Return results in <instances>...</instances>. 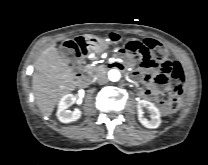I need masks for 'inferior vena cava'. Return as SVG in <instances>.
I'll use <instances>...</instances> for the list:
<instances>
[{
  "label": "inferior vena cava",
  "mask_w": 208,
  "mask_h": 165,
  "mask_svg": "<svg viewBox=\"0 0 208 165\" xmlns=\"http://www.w3.org/2000/svg\"><path fill=\"white\" fill-rule=\"evenodd\" d=\"M96 81L99 83V84H104L108 81V78L105 74H99L97 75L96 77Z\"/></svg>",
  "instance_id": "602c4592"
}]
</instances>
